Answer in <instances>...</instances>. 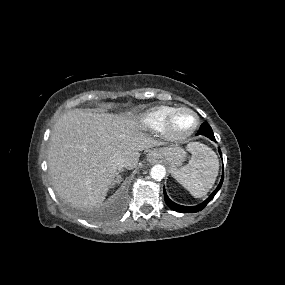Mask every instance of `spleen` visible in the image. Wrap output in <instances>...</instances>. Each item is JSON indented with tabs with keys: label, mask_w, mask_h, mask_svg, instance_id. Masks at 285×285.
I'll list each match as a JSON object with an SVG mask.
<instances>
[{
	"label": "spleen",
	"mask_w": 285,
	"mask_h": 285,
	"mask_svg": "<svg viewBox=\"0 0 285 285\" xmlns=\"http://www.w3.org/2000/svg\"><path fill=\"white\" fill-rule=\"evenodd\" d=\"M188 150L192 154L191 160L186 166L173 169L172 175L192 196L200 198L213 187L219 161L215 152L204 144L192 142Z\"/></svg>",
	"instance_id": "3e777b00"
}]
</instances>
